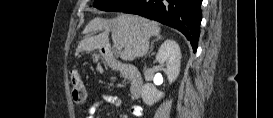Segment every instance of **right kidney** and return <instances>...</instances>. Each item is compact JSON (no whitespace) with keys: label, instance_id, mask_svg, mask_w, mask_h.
<instances>
[{"label":"right kidney","instance_id":"right-kidney-1","mask_svg":"<svg viewBox=\"0 0 273 118\" xmlns=\"http://www.w3.org/2000/svg\"><path fill=\"white\" fill-rule=\"evenodd\" d=\"M156 60L160 64H166L168 81L170 84L173 83L179 75L181 66L179 45L174 40H166L159 48ZM141 96L145 104L152 106L164 96V93L147 83L142 87Z\"/></svg>","mask_w":273,"mask_h":118}]
</instances>
